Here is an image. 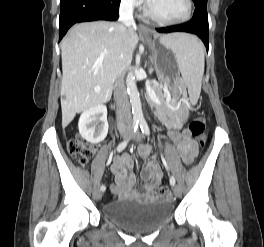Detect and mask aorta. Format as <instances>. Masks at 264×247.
<instances>
[{"instance_id":"obj_1","label":"aorta","mask_w":264,"mask_h":247,"mask_svg":"<svg viewBox=\"0 0 264 247\" xmlns=\"http://www.w3.org/2000/svg\"><path fill=\"white\" fill-rule=\"evenodd\" d=\"M126 85H127V92L130 98V103L132 106L133 119L134 121H141L143 120V113H142L140 96L137 89L133 71H130L128 73L126 78Z\"/></svg>"}]
</instances>
